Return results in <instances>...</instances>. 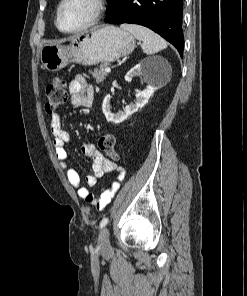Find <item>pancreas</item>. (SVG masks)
Segmentation results:
<instances>
[{"label":"pancreas","instance_id":"cf45deb5","mask_svg":"<svg viewBox=\"0 0 247 296\" xmlns=\"http://www.w3.org/2000/svg\"><path fill=\"white\" fill-rule=\"evenodd\" d=\"M91 73L97 83L104 81L105 77L107 76L104 65H100L98 68H95Z\"/></svg>","mask_w":247,"mask_h":296}]
</instances>
